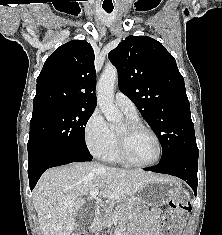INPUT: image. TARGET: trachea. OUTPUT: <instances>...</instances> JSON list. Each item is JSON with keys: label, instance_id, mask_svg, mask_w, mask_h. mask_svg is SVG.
I'll list each match as a JSON object with an SVG mask.
<instances>
[{"label": "trachea", "instance_id": "1", "mask_svg": "<svg viewBox=\"0 0 222 235\" xmlns=\"http://www.w3.org/2000/svg\"><path fill=\"white\" fill-rule=\"evenodd\" d=\"M103 9L107 12V13H111L113 11V7H103Z\"/></svg>", "mask_w": 222, "mask_h": 235}]
</instances>
